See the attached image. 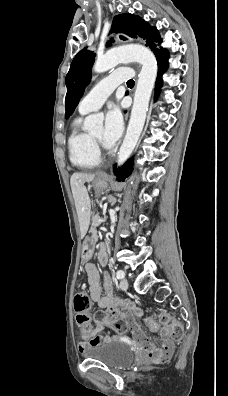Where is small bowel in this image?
Returning a JSON list of instances; mask_svg holds the SVG:
<instances>
[{"label":"small bowel","mask_w":228,"mask_h":396,"mask_svg":"<svg viewBox=\"0 0 228 396\" xmlns=\"http://www.w3.org/2000/svg\"><path fill=\"white\" fill-rule=\"evenodd\" d=\"M100 258H105V247L102 246L99 252ZM85 271L87 274V282L89 285L90 298L113 319L124 320L129 328L131 336L141 344L149 353L150 359L155 363H162L171 358L174 352V343L170 340L167 331H163L161 336L163 339L161 346H155L151 343L141 330L137 319L143 315L142 309L137 307L130 301L120 299L113 293L112 280L108 274L104 275L103 287L100 284V275L96 265L92 262H86ZM107 327L106 324L98 323L96 327H90L87 331L82 332L84 341L78 345L79 350L82 352L90 346L98 345L102 342L123 339L122 336H112L110 333L107 335H100V332Z\"/></svg>","instance_id":"small-bowel-1"}]
</instances>
